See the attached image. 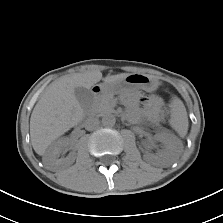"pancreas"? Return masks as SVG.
I'll return each instance as SVG.
<instances>
[{"label":"pancreas","mask_w":223,"mask_h":223,"mask_svg":"<svg viewBox=\"0 0 223 223\" xmlns=\"http://www.w3.org/2000/svg\"><path fill=\"white\" fill-rule=\"evenodd\" d=\"M90 111L95 114H103V113L113 111V97H112V95H107L99 100H95L90 105Z\"/></svg>","instance_id":"1"}]
</instances>
